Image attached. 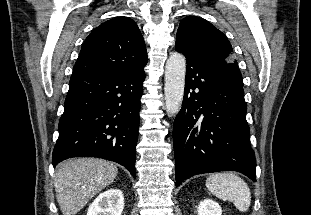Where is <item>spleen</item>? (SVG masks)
I'll return each instance as SVG.
<instances>
[{
    "label": "spleen",
    "instance_id": "3e777b00",
    "mask_svg": "<svg viewBox=\"0 0 311 215\" xmlns=\"http://www.w3.org/2000/svg\"><path fill=\"white\" fill-rule=\"evenodd\" d=\"M206 187L216 197L231 201L241 212H246L251 203L247 183L234 173H214L206 180Z\"/></svg>",
    "mask_w": 311,
    "mask_h": 215
}]
</instances>
